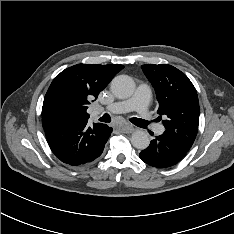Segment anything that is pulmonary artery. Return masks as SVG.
Here are the masks:
<instances>
[{
	"label": "pulmonary artery",
	"instance_id": "1",
	"mask_svg": "<svg viewBox=\"0 0 234 234\" xmlns=\"http://www.w3.org/2000/svg\"><path fill=\"white\" fill-rule=\"evenodd\" d=\"M151 96V91L148 85L141 84L137 88L136 93L130 99L124 101L115 102L106 107V110L110 113L118 114L125 113L131 110H136L139 116L147 121L150 119L151 115L148 109V104ZM157 133L163 132L162 126H157Z\"/></svg>",
	"mask_w": 234,
	"mask_h": 234
}]
</instances>
